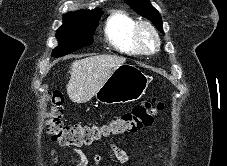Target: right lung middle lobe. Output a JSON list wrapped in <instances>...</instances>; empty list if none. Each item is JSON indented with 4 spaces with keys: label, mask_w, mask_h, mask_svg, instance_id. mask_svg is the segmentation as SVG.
I'll return each instance as SVG.
<instances>
[{
    "label": "right lung middle lobe",
    "mask_w": 227,
    "mask_h": 166,
    "mask_svg": "<svg viewBox=\"0 0 227 166\" xmlns=\"http://www.w3.org/2000/svg\"><path fill=\"white\" fill-rule=\"evenodd\" d=\"M99 18V9L65 15L63 25L56 32L59 46L53 50L52 55L64 56L91 45Z\"/></svg>",
    "instance_id": "right-lung-middle-lobe-1"
}]
</instances>
